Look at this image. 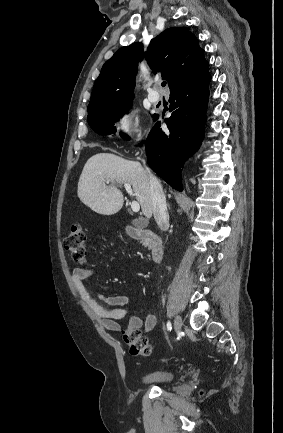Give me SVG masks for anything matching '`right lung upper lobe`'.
I'll return each mask as SVG.
<instances>
[{
    "mask_svg": "<svg viewBox=\"0 0 283 433\" xmlns=\"http://www.w3.org/2000/svg\"><path fill=\"white\" fill-rule=\"evenodd\" d=\"M141 43L122 47L103 65L97 78L88 114L94 111L131 103L134 98L137 63L143 56ZM154 73L161 71L170 91L186 88L208 76V62L198 39L186 27H171L154 38L145 53Z\"/></svg>",
    "mask_w": 283,
    "mask_h": 433,
    "instance_id": "1",
    "label": "right lung upper lobe"
}]
</instances>
